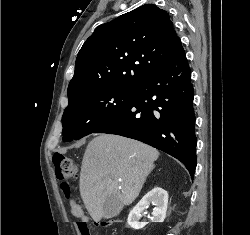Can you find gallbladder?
<instances>
[{
  "instance_id": "gallbladder-1",
  "label": "gallbladder",
  "mask_w": 250,
  "mask_h": 235,
  "mask_svg": "<svg viewBox=\"0 0 250 235\" xmlns=\"http://www.w3.org/2000/svg\"><path fill=\"white\" fill-rule=\"evenodd\" d=\"M120 200L115 196H109L103 205L104 218L110 219L116 217L122 210Z\"/></svg>"
}]
</instances>
